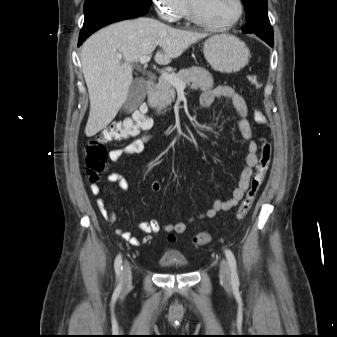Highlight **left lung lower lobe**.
<instances>
[{
    "label": "left lung lower lobe",
    "mask_w": 337,
    "mask_h": 337,
    "mask_svg": "<svg viewBox=\"0 0 337 337\" xmlns=\"http://www.w3.org/2000/svg\"><path fill=\"white\" fill-rule=\"evenodd\" d=\"M262 40H264L266 43H268L270 46H273V38H266L259 36Z\"/></svg>",
    "instance_id": "1"
}]
</instances>
